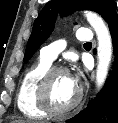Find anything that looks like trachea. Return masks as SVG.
Masks as SVG:
<instances>
[{"instance_id":"trachea-1","label":"trachea","mask_w":118,"mask_h":123,"mask_svg":"<svg viewBox=\"0 0 118 123\" xmlns=\"http://www.w3.org/2000/svg\"><path fill=\"white\" fill-rule=\"evenodd\" d=\"M85 44H87V45H91L92 43H91V42H87V43H85Z\"/></svg>"}]
</instances>
